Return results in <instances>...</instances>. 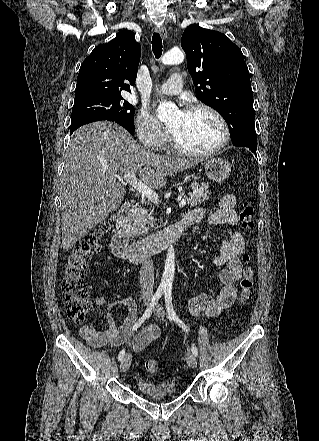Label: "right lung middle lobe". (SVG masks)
Wrapping results in <instances>:
<instances>
[{"mask_svg":"<svg viewBox=\"0 0 319 441\" xmlns=\"http://www.w3.org/2000/svg\"><path fill=\"white\" fill-rule=\"evenodd\" d=\"M134 108L122 96H94L74 100L71 127L98 120H110L134 133Z\"/></svg>","mask_w":319,"mask_h":441,"instance_id":"1","label":"right lung middle lobe"}]
</instances>
